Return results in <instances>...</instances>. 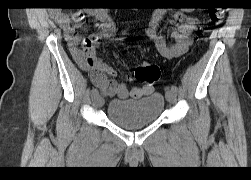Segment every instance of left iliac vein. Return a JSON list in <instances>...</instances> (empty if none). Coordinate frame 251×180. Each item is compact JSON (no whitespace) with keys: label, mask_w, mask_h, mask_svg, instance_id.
Wrapping results in <instances>:
<instances>
[{"label":"left iliac vein","mask_w":251,"mask_h":180,"mask_svg":"<svg viewBox=\"0 0 251 180\" xmlns=\"http://www.w3.org/2000/svg\"><path fill=\"white\" fill-rule=\"evenodd\" d=\"M166 98L169 103H175L176 102V92L172 90H168L166 92Z\"/></svg>","instance_id":"obj_1"}]
</instances>
